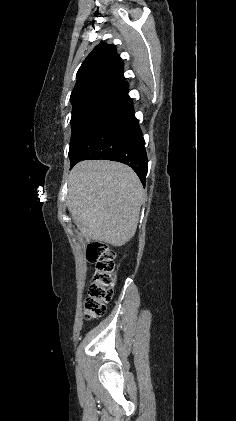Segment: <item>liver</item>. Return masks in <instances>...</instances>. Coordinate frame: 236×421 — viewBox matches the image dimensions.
Returning <instances> with one entry per match:
<instances>
[{
  "instance_id": "obj_1",
  "label": "liver",
  "mask_w": 236,
  "mask_h": 421,
  "mask_svg": "<svg viewBox=\"0 0 236 421\" xmlns=\"http://www.w3.org/2000/svg\"><path fill=\"white\" fill-rule=\"evenodd\" d=\"M144 188L114 160H81L68 176L67 206L83 237L121 247L136 233Z\"/></svg>"
}]
</instances>
